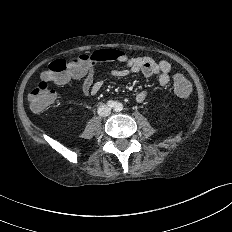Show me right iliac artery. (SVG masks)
Segmentation results:
<instances>
[{
  "instance_id": "right-iliac-artery-1",
  "label": "right iliac artery",
  "mask_w": 232,
  "mask_h": 232,
  "mask_svg": "<svg viewBox=\"0 0 232 232\" xmlns=\"http://www.w3.org/2000/svg\"><path fill=\"white\" fill-rule=\"evenodd\" d=\"M107 105L113 108L116 105V103L114 101H108Z\"/></svg>"
}]
</instances>
